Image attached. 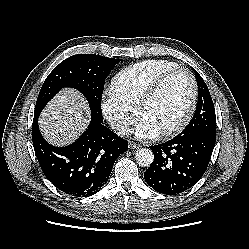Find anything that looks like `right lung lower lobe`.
<instances>
[{"label": "right lung lower lobe", "instance_id": "1", "mask_svg": "<svg viewBox=\"0 0 249 249\" xmlns=\"http://www.w3.org/2000/svg\"><path fill=\"white\" fill-rule=\"evenodd\" d=\"M32 140L46 178L62 192L76 197L99 191L108 180L117 157L128 149L126 140L94 119L73 144L54 147L42 137L38 116H34Z\"/></svg>", "mask_w": 249, "mask_h": 249}]
</instances>
